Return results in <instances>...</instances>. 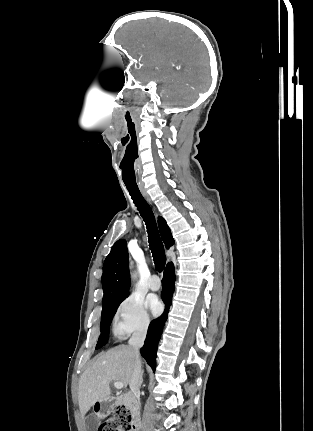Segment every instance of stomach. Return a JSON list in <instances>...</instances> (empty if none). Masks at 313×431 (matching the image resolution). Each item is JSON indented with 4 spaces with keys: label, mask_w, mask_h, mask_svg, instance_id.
<instances>
[{
    "label": "stomach",
    "mask_w": 313,
    "mask_h": 431,
    "mask_svg": "<svg viewBox=\"0 0 313 431\" xmlns=\"http://www.w3.org/2000/svg\"><path fill=\"white\" fill-rule=\"evenodd\" d=\"M97 405H98V408H99L98 413H99V414H102V412H103V411H104V409H105V405H106V403H105V402H98V403H97Z\"/></svg>",
    "instance_id": "0dacf381"
}]
</instances>
